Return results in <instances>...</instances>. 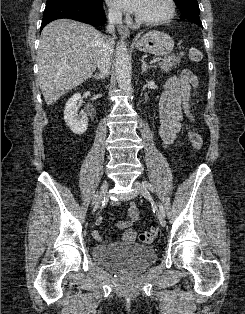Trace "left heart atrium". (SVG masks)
Here are the masks:
<instances>
[{"instance_id": "1", "label": "left heart atrium", "mask_w": 245, "mask_h": 314, "mask_svg": "<svg viewBox=\"0 0 245 314\" xmlns=\"http://www.w3.org/2000/svg\"><path fill=\"white\" fill-rule=\"evenodd\" d=\"M146 0H107L108 4L114 9L139 14Z\"/></svg>"}]
</instances>
